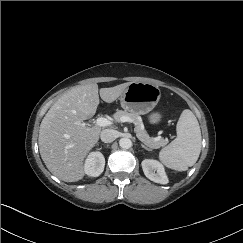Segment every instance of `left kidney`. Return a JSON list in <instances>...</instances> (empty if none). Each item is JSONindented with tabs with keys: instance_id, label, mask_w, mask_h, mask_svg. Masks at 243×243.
Returning a JSON list of instances; mask_svg holds the SVG:
<instances>
[{
	"instance_id": "5707ae66",
	"label": "left kidney",
	"mask_w": 243,
	"mask_h": 243,
	"mask_svg": "<svg viewBox=\"0 0 243 243\" xmlns=\"http://www.w3.org/2000/svg\"><path fill=\"white\" fill-rule=\"evenodd\" d=\"M145 176L153 182L167 184L168 177L163 165L153 159H145L141 163Z\"/></svg>"
}]
</instances>
